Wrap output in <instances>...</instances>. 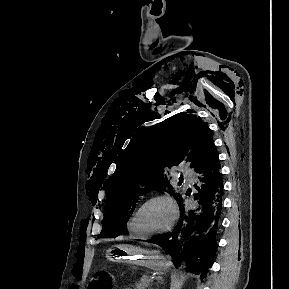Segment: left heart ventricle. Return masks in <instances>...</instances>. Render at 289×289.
Here are the masks:
<instances>
[{
    "label": "left heart ventricle",
    "mask_w": 289,
    "mask_h": 289,
    "mask_svg": "<svg viewBox=\"0 0 289 289\" xmlns=\"http://www.w3.org/2000/svg\"><path fill=\"white\" fill-rule=\"evenodd\" d=\"M172 211L169 204L155 200L147 204L138 216V227L144 232H153L165 228L171 221Z\"/></svg>",
    "instance_id": "obj_1"
}]
</instances>
